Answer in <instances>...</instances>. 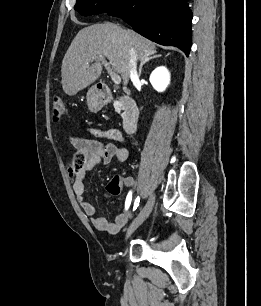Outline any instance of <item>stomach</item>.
Here are the masks:
<instances>
[{
	"label": "stomach",
	"mask_w": 261,
	"mask_h": 306,
	"mask_svg": "<svg viewBox=\"0 0 261 306\" xmlns=\"http://www.w3.org/2000/svg\"><path fill=\"white\" fill-rule=\"evenodd\" d=\"M86 99L88 108L92 112L99 111L103 106L102 97L94 87L88 90Z\"/></svg>",
	"instance_id": "stomach-1"
}]
</instances>
